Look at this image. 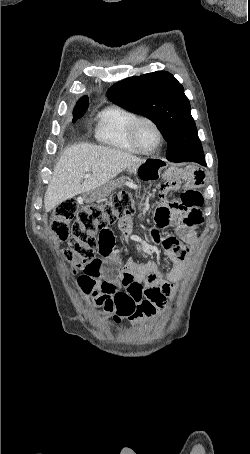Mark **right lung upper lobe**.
<instances>
[{
	"mask_svg": "<svg viewBox=\"0 0 250 454\" xmlns=\"http://www.w3.org/2000/svg\"><path fill=\"white\" fill-rule=\"evenodd\" d=\"M89 103L88 101V97L87 96H83L78 102H77V105L78 104H83V103Z\"/></svg>",
	"mask_w": 250,
	"mask_h": 454,
	"instance_id": "right-lung-upper-lobe-1",
	"label": "right lung upper lobe"
}]
</instances>
